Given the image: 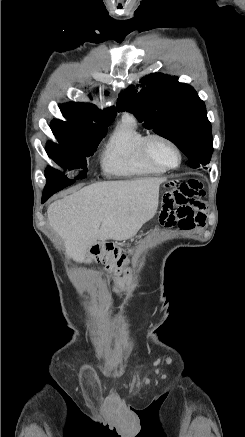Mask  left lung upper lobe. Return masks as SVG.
I'll return each instance as SVG.
<instances>
[{
    "instance_id": "left-lung-upper-lobe-1",
    "label": "left lung upper lobe",
    "mask_w": 245,
    "mask_h": 437,
    "mask_svg": "<svg viewBox=\"0 0 245 437\" xmlns=\"http://www.w3.org/2000/svg\"><path fill=\"white\" fill-rule=\"evenodd\" d=\"M140 83V92L129 86L119 94L117 109L133 113L145 128L172 141L193 168L208 164L212 128L197 92L177 77L161 73L147 75Z\"/></svg>"
}]
</instances>
